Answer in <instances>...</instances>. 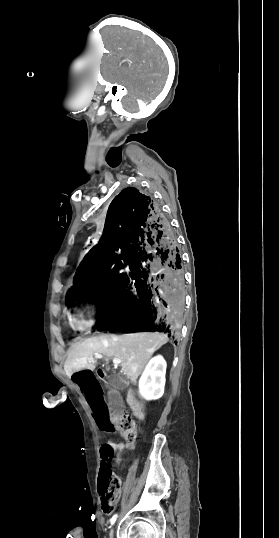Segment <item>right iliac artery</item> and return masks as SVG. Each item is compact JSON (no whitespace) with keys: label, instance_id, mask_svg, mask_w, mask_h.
Returning <instances> with one entry per match:
<instances>
[{"label":"right iliac artery","instance_id":"82829eb1","mask_svg":"<svg viewBox=\"0 0 279 538\" xmlns=\"http://www.w3.org/2000/svg\"><path fill=\"white\" fill-rule=\"evenodd\" d=\"M116 519H117V514L113 515V517L111 518L110 520L111 524H114Z\"/></svg>","mask_w":279,"mask_h":538}]
</instances>
